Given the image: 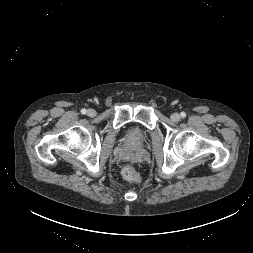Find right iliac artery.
<instances>
[{
  "mask_svg": "<svg viewBox=\"0 0 253 253\" xmlns=\"http://www.w3.org/2000/svg\"><path fill=\"white\" fill-rule=\"evenodd\" d=\"M86 112H87L86 109H82V110H81V113H82V114H86Z\"/></svg>",
  "mask_w": 253,
  "mask_h": 253,
  "instance_id": "82829eb1",
  "label": "right iliac artery"
}]
</instances>
